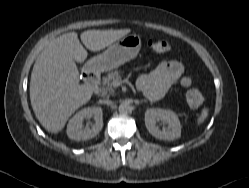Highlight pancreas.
<instances>
[{
    "label": "pancreas",
    "instance_id": "obj_1",
    "mask_svg": "<svg viewBox=\"0 0 249 188\" xmlns=\"http://www.w3.org/2000/svg\"><path fill=\"white\" fill-rule=\"evenodd\" d=\"M121 79L120 72L118 70H115L114 72L109 73L107 76H104L101 80L100 84V92L103 96L105 95H111L114 92V88L116 87L114 85L115 81H118Z\"/></svg>",
    "mask_w": 249,
    "mask_h": 188
}]
</instances>
